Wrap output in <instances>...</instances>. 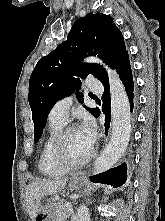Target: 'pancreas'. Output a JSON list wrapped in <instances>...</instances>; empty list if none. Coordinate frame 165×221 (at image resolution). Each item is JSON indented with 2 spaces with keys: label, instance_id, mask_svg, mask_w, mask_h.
I'll return each instance as SVG.
<instances>
[{
  "label": "pancreas",
  "instance_id": "pancreas-1",
  "mask_svg": "<svg viewBox=\"0 0 165 221\" xmlns=\"http://www.w3.org/2000/svg\"><path fill=\"white\" fill-rule=\"evenodd\" d=\"M55 210L57 214H55L58 217V221H64L67 219L71 214V209L66 206L65 201H60L55 204Z\"/></svg>",
  "mask_w": 165,
  "mask_h": 221
}]
</instances>
